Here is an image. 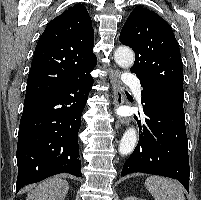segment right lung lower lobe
Wrapping results in <instances>:
<instances>
[{
	"label": "right lung lower lobe",
	"instance_id": "obj_1",
	"mask_svg": "<svg viewBox=\"0 0 201 200\" xmlns=\"http://www.w3.org/2000/svg\"><path fill=\"white\" fill-rule=\"evenodd\" d=\"M92 83L87 72L62 88L25 97L17 143L16 192L62 172L82 176L78 132Z\"/></svg>",
	"mask_w": 201,
	"mask_h": 200
}]
</instances>
